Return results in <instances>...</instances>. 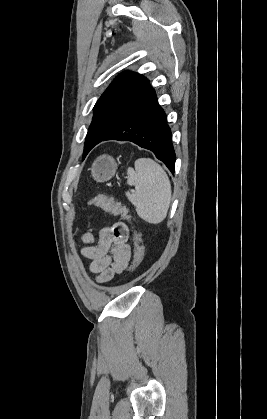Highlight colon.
Segmentation results:
<instances>
[{"mask_svg": "<svg viewBox=\"0 0 267 419\" xmlns=\"http://www.w3.org/2000/svg\"><path fill=\"white\" fill-rule=\"evenodd\" d=\"M89 204L99 207L102 210L120 216L123 220L132 222V217L129 215L128 210L121 203L109 198L105 195H95L89 200ZM134 256L131 269L135 270L143 261L144 246L142 244L141 236L138 231L134 230L133 233Z\"/></svg>", "mask_w": 267, "mask_h": 419, "instance_id": "5ec220e1", "label": "colon"}]
</instances>
